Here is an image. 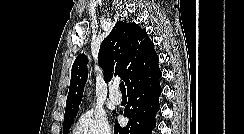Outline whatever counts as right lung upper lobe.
Masks as SVG:
<instances>
[{"mask_svg": "<svg viewBox=\"0 0 244 134\" xmlns=\"http://www.w3.org/2000/svg\"><path fill=\"white\" fill-rule=\"evenodd\" d=\"M86 62L87 57L79 54L73 63L64 118L77 115L88 76ZM98 62L105 73V82L119 76L127 91L161 74L153 42L136 23L115 24L101 43Z\"/></svg>", "mask_w": 244, "mask_h": 134, "instance_id": "1", "label": "right lung upper lobe"}]
</instances>
